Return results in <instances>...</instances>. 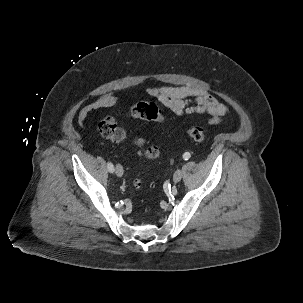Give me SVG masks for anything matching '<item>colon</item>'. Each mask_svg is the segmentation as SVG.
Here are the masks:
<instances>
[{
    "label": "colon",
    "mask_w": 303,
    "mask_h": 303,
    "mask_svg": "<svg viewBox=\"0 0 303 303\" xmlns=\"http://www.w3.org/2000/svg\"><path fill=\"white\" fill-rule=\"evenodd\" d=\"M131 115L133 117L147 120V121H155L162 122L164 120L161 111L159 108L151 102L141 101L136 103L131 108ZM98 130L100 134L113 142H122L127 139L128 133L127 131L118 125L115 117L106 116L104 117L99 125ZM188 135L196 142H203L205 140V132L203 128L199 126H189L187 128ZM134 143L137 147H139L143 153V155L148 160H155L160 155V150L157 146H146L145 139L143 137H137L134 139ZM142 185L140 180L135 182V186L139 188Z\"/></svg>",
    "instance_id": "1"
}]
</instances>
